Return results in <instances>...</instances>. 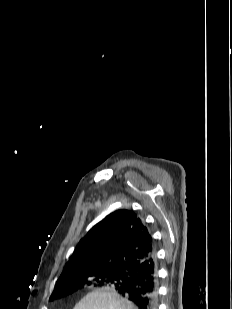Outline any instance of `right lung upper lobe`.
I'll use <instances>...</instances> for the list:
<instances>
[{
    "label": "right lung upper lobe",
    "instance_id": "cb5924a9",
    "mask_svg": "<svg viewBox=\"0 0 232 309\" xmlns=\"http://www.w3.org/2000/svg\"><path fill=\"white\" fill-rule=\"evenodd\" d=\"M153 255V239L142 220L132 210H117L80 240L56 284L93 270L128 272Z\"/></svg>",
    "mask_w": 232,
    "mask_h": 309
}]
</instances>
